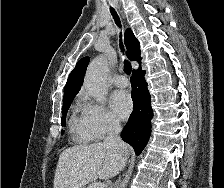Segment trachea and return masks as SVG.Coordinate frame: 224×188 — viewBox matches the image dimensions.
I'll return each instance as SVG.
<instances>
[{
  "label": "trachea",
  "instance_id": "trachea-1",
  "mask_svg": "<svg viewBox=\"0 0 224 188\" xmlns=\"http://www.w3.org/2000/svg\"><path fill=\"white\" fill-rule=\"evenodd\" d=\"M110 12L115 20V23L121 27V23H120V19L116 13V11L113 9V8H110ZM120 48H121V51L123 52L124 51V46L120 40ZM124 71L126 74L130 75L131 74V71H132V67H131V64L127 61V60H124Z\"/></svg>",
  "mask_w": 224,
  "mask_h": 188
}]
</instances>
